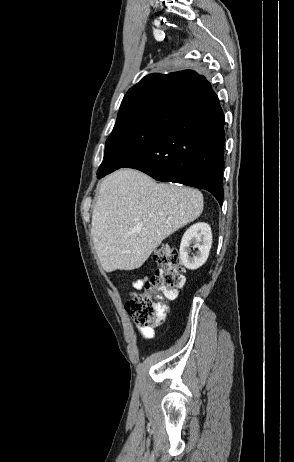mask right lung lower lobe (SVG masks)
I'll list each match as a JSON object with an SVG mask.
<instances>
[{
  "label": "right lung lower lobe",
  "mask_w": 294,
  "mask_h": 462,
  "mask_svg": "<svg viewBox=\"0 0 294 462\" xmlns=\"http://www.w3.org/2000/svg\"><path fill=\"white\" fill-rule=\"evenodd\" d=\"M185 99L187 104L175 119L121 167L138 169L159 181L206 189L222 205L223 111L212 87L202 94L188 93Z\"/></svg>",
  "instance_id": "obj_1"
}]
</instances>
